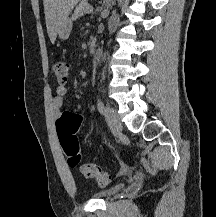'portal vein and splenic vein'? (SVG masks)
<instances>
[{"label":"portal vein and splenic vein","mask_w":216,"mask_h":217,"mask_svg":"<svg viewBox=\"0 0 216 217\" xmlns=\"http://www.w3.org/2000/svg\"><path fill=\"white\" fill-rule=\"evenodd\" d=\"M93 11V7L92 6H88L87 7V13H91Z\"/></svg>","instance_id":"portal-vein-and-splenic-vein-1"}]
</instances>
